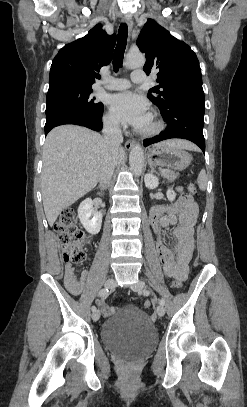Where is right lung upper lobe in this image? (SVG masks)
Instances as JSON below:
<instances>
[{"instance_id": "right-lung-upper-lobe-1", "label": "right lung upper lobe", "mask_w": 247, "mask_h": 407, "mask_svg": "<svg viewBox=\"0 0 247 407\" xmlns=\"http://www.w3.org/2000/svg\"><path fill=\"white\" fill-rule=\"evenodd\" d=\"M116 35H108L98 24L86 36L65 45L53 59L49 90L92 87L99 69L112 59Z\"/></svg>"}]
</instances>
